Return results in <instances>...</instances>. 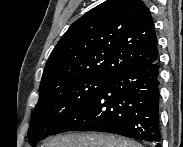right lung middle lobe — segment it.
Returning a JSON list of instances; mask_svg holds the SVG:
<instances>
[{
	"mask_svg": "<svg viewBox=\"0 0 183 147\" xmlns=\"http://www.w3.org/2000/svg\"><path fill=\"white\" fill-rule=\"evenodd\" d=\"M109 79L87 77L40 89L28 130L32 146L53 131L90 99Z\"/></svg>",
	"mask_w": 183,
	"mask_h": 147,
	"instance_id": "1",
	"label": "right lung middle lobe"
}]
</instances>
